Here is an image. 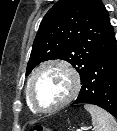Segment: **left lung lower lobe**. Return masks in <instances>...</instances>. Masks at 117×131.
Listing matches in <instances>:
<instances>
[{"label":"left lung lower lobe","mask_w":117,"mask_h":131,"mask_svg":"<svg viewBox=\"0 0 117 131\" xmlns=\"http://www.w3.org/2000/svg\"><path fill=\"white\" fill-rule=\"evenodd\" d=\"M81 84L72 104H94L117 118V44L113 27L108 45L89 66Z\"/></svg>","instance_id":"0a47b994"}]
</instances>
